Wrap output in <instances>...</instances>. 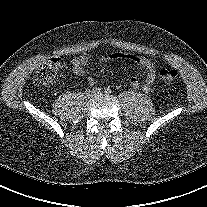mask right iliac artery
<instances>
[{
	"mask_svg": "<svg viewBox=\"0 0 207 207\" xmlns=\"http://www.w3.org/2000/svg\"><path fill=\"white\" fill-rule=\"evenodd\" d=\"M93 92L94 93H100L101 92V89L99 87H94L93 88Z\"/></svg>",
	"mask_w": 207,
	"mask_h": 207,
	"instance_id": "82829eb1",
	"label": "right iliac artery"
}]
</instances>
